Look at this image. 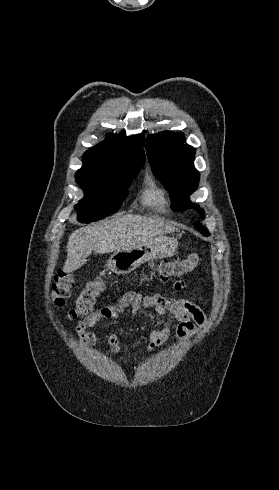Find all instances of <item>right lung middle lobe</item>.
Instances as JSON below:
<instances>
[{
	"label": "right lung middle lobe",
	"instance_id": "dd1d6c3e",
	"mask_svg": "<svg viewBox=\"0 0 279 490\" xmlns=\"http://www.w3.org/2000/svg\"><path fill=\"white\" fill-rule=\"evenodd\" d=\"M140 169L141 167L126 168L105 177L75 175L85 194L75 206L78 221L90 223L118 211L128 195L132 178L136 177Z\"/></svg>",
	"mask_w": 279,
	"mask_h": 490
}]
</instances>
